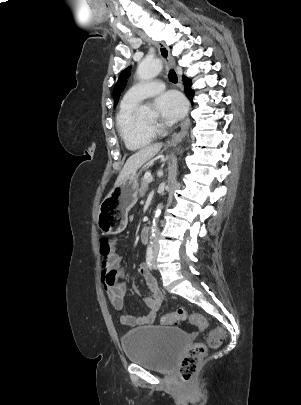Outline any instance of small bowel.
Wrapping results in <instances>:
<instances>
[{
  "mask_svg": "<svg viewBox=\"0 0 301 405\" xmlns=\"http://www.w3.org/2000/svg\"><path fill=\"white\" fill-rule=\"evenodd\" d=\"M112 249L108 255H103L101 262V282L105 294L116 310H122L124 308L125 296L127 294V286L124 283L126 273L121 269L122 256L117 253L115 247V240H111ZM138 272L143 276L147 287L149 288L151 295L143 297L144 304L148 311L140 316L122 315L120 320L122 324L129 326L147 325L153 323L157 315L158 310L163 302V294L154 279L150 274L147 266L141 264L138 268ZM134 291L139 294V291L134 287Z\"/></svg>",
  "mask_w": 301,
  "mask_h": 405,
  "instance_id": "obj_1",
  "label": "small bowel"
}]
</instances>
